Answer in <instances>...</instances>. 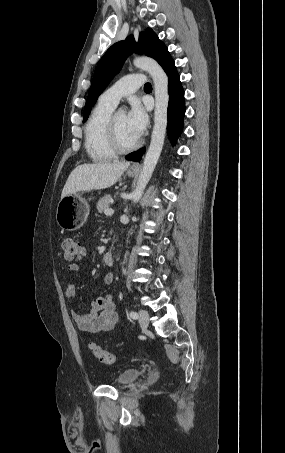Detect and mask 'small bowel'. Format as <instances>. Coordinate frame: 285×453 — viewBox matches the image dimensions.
<instances>
[{"mask_svg":"<svg viewBox=\"0 0 285 453\" xmlns=\"http://www.w3.org/2000/svg\"><path fill=\"white\" fill-rule=\"evenodd\" d=\"M86 256L85 249L81 248L77 261L71 263L68 269L71 272H78L81 267V262ZM114 276L112 273H107L104 276V283L109 285L113 282ZM66 296L73 306L71 314L74 322L79 330L88 333H98L110 331L114 328L118 316L115 312V302L113 298L104 293H100L92 301L88 311H78L74 306L76 303V288L73 284L67 283L65 286Z\"/></svg>","mask_w":285,"mask_h":453,"instance_id":"1","label":"small bowel"}]
</instances>
